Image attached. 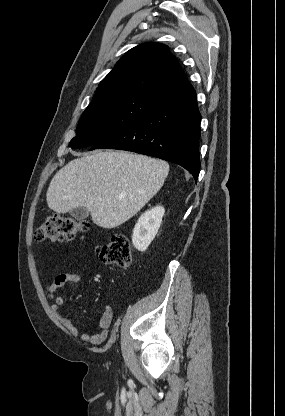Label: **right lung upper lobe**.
Returning a JSON list of instances; mask_svg holds the SVG:
<instances>
[{"mask_svg":"<svg viewBox=\"0 0 285 416\" xmlns=\"http://www.w3.org/2000/svg\"><path fill=\"white\" fill-rule=\"evenodd\" d=\"M138 96L166 107L196 96L177 59L166 45L145 43L129 50L100 82L94 105Z\"/></svg>","mask_w":285,"mask_h":416,"instance_id":"right-lung-upper-lobe-1","label":"right lung upper lobe"}]
</instances>
